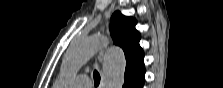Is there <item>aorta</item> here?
Instances as JSON below:
<instances>
[{
  "label": "aorta",
  "instance_id": "762f6f07",
  "mask_svg": "<svg viewBox=\"0 0 223 88\" xmlns=\"http://www.w3.org/2000/svg\"><path fill=\"white\" fill-rule=\"evenodd\" d=\"M105 43L98 35L75 39L69 46L63 62L60 88H68L79 69L87 63ZM126 68L125 55L119 47H110L103 62L101 76L103 88H122Z\"/></svg>",
  "mask_w": 223,
  "mask_h": 88
}]
</instances>
